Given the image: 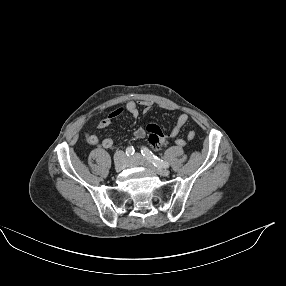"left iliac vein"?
I'll return each mask as SVG.
<instances>
[{
  "instance_id": "4c4485c4",
  "label": "left iliac vein",
  "mask_w": 286,
  "mask_h": 286,
  "mask_svg": "<svg viewBox=\"0 0 286 286\" xmlns=\"http://www.w3.org/2000/svg\"><path fill=\"white\" fill-rule=\"evenodd\" d=\"M139 165H143V166L150 168L151 170H153L155 173H157L160 176L166 177L169 175V171L167 169L162 168V167H156L151 162L146 160V158H144L142 155L135 154L132 158H130L129 166L135 167Z\"/></svg>"
}]
</instances>
